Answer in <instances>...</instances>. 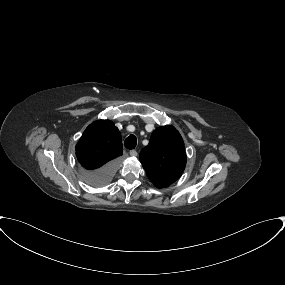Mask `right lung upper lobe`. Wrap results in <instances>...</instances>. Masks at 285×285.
<instances>
[{
    "label": "right lung upper lobe",
    "mask_w": 285,
    "mask_h": 285,
    "mask_svg": "<svg viewBox=\"0 0 285 285\" xmlns=\"http://www.w3.org/2000/svg\"><path fill=\"white\" fill-rule=\"evenodd\" d=\"M122 150V137L115 124L109 120H98L83 132L76 145V156L86 171H93L116 160L122 155Z\"/></svg>",
    "instance_id": "1"
}]
</instances>
